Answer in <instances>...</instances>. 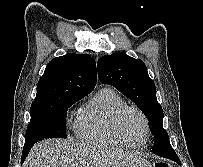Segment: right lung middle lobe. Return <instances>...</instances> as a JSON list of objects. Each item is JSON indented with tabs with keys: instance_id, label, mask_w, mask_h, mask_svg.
<instances>
[{
	"instance_id": "right-lung-middle-lobe-1",
	"label": "right lung middle lobe",
	"mask_w": 203,
	"mask_h": 167,
	"mask_svg": "<svg viewBox=\"0 0 203 167\" xmlns=\"http://www.w3.org/2000/svg\"><path fill=\"white\" fill-rule=\"evenodd\" d=\"M82 98H65L49 105L31 106V120L27 127L25 143L47 138H67L66 112Z\"/></svg>"
}]
</instances>
